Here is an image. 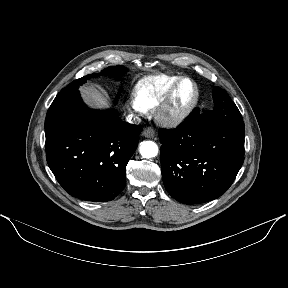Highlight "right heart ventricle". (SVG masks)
Returning a JSON list of instances; mask_svg holds the SVG:
<instances>
[{
	"label": "right heart ventricle",
	"instance_id": "right-heart-ventricle-1",
	"mask_svg": "<svg viewBox=\"0 0 288 288\" xmlns=\"http://www.w3.org/2000/svg\"><path fill=\"white\" fill-rule=\"evenodd\" d=\"M180 79L176 75H151L141 79L135 86V94L148 108L158 106L174 83Z\"/></svg>",
	"mask_w": 288,
	"mask_h": 288
}]
</instances>
